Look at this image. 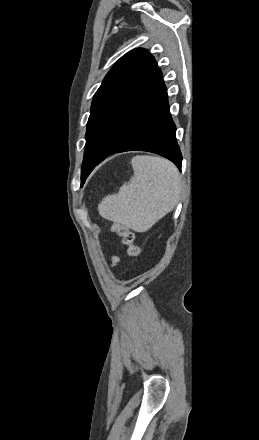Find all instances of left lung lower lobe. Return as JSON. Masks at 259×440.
<instances>
[{
    "label": "left lung lower lobe",
    "instance_id": "0a47b994",
    "mask_svg": "<svg viewBox=\"0 0 259 440\" xmlns=\"http://www.w3.org/2000/svg\"><path fill=\"white\" fill-rule=\"evenodd\" d=\"M175 133L167 90L162 72L157 68L146 89L117 126L95 166L113 153L148 151L171 160L181 169L182 155Z\"/></svg>",
    "mask_w": 259,
    "mask_h": 440
}]
</instances>
